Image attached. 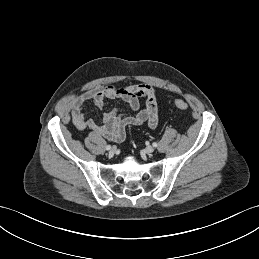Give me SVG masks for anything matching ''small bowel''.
<instances>
[{
  "label": "small bowel",
  "mask_w": 259,
  "mask_h": 259,
  "mask_svg": "<svg viewBox=\"0 0 259 259\" xmlns=\"http://www.w3.org/2000/svg\"><path fill=\"white\" fill-rule=\"evenodd\" d=\"M145 99L141 108L140 99ZM107 99H122L128 105L129 112H121L117 108L107 110L102 124L84 115V105L93 102L98 108L105 106ZM71 120L78 130H91L103 138L121 143L126 138V130L130 126L147 124L151 129L157 127L158 110L154 89L147 84L117 87L109 85L90 90L70 100Z\"/></svg>",
  "instance_id": "1"
}]
</instances>
